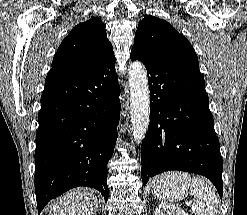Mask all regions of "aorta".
<instances>
[{
  "instance_id": "762f6f07",
  "label": "aorta",
  "mask_w": 247,
  "mask_h": 215,
  "mask_svg": "<svg viewBox=\"0 0 247 215\" xmlns=\"http://www.w3.org/2000/svg\"><path fill=\"white\" fill-rule=\"evenodd\" d=\"M128 70L132 135L135 142L140 143L147 133L150 122L148 79L145 67L140 61L133 62Z\"/></svg>"
}]
</instances>
